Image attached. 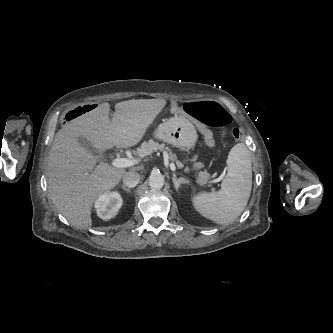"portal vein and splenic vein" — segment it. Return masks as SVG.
I'll use <instances>...</instances> for the list:
<instances>
[{
    "label": "portal vein and splenic vein",
    "mask_w": 333,
    "mask_h": 333,
    "mask_svg": "<svg viewBox=\"0 0 333 333\" xmlns=\"http://www.w3.org/2000/svg\"><path fill=\"white\" fill-rule=\"evenodd\" d=\"M144 157L143 155L140 156V158L137 159H130V158H116L113 160L112 165L116 168H127V167H131L134 166L138 163L141 162V158ZM166 165L170 166V169L172 171L176 170V167L174 165V163H170L168 162V160H165Z\"/></svg>",
    "instance_id": "portal-vein-and-splenic-vein-1"
}]
</instances>
